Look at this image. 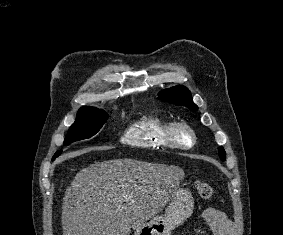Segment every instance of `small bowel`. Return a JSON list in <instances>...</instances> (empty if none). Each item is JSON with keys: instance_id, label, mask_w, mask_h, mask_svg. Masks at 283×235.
<instances>
[{"instance_id": "obj_1", "label": "small bowel", "mask_w": 283, "mask_h": 235, "mask_svg": "<svg viewBox=\"0 0 283 235\" xmlns=\"http://www.w3.org/2000/svg\"><path fill=\"white\" fill-rule=\"evenodd\" d=\"M204 220L213 229L214 235H230L233 225L231 220L222 212L213 207L203 211Z\"/></svg>"}]
</instances>
